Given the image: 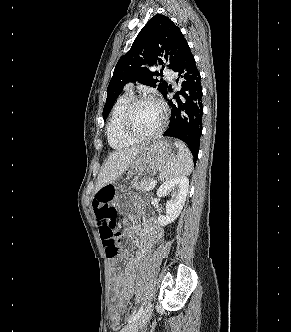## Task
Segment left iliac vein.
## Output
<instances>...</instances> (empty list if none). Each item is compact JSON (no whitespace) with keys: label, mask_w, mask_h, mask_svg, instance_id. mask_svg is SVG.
<instances>
[{"label":"left iliac vein","mask_w":291,"mask_h":332,"mask_svg":"<svg viewBox=\"0 0 291 332\" xmlns=\"http://www.w3.org/2000/svg\"><path fill=\"white\" fill-rule=\"evenodd\" d=\"M152 314V304L149 303L144 312L133 322L123 327L120 332H139L149 321Z\"/></svg>","instance_id":"left-iliac-vein-1"}]
</instances>
